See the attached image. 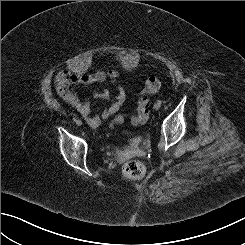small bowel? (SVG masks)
<instances>
[{
    "instance_id": "obj_1",
    "label": "small bowel",
    "mask_w": 245,
    "mask_h": 245,
    "mask_svg": "<svg viewBox=\"0 0 245 245\" xmlns=\"http://www.w3.org/2000/svg\"><path fill=\"white\" fill-rule=\"evenodd\" d=\"M120 72L116 69L98 70L96 72H75L68 69L61 70L55 77V89L57 94L67 104L75 108L91 127H98L103 121L111 118L122 107L126 100V90L118 84ZM109 81L115 85L116 94L111 104L95 115H91V104L86 99H81L72 89L73 85H88ZM96 99H109L110 91L106 88L94 91Z\"/></svg>"
}]
</instances>
